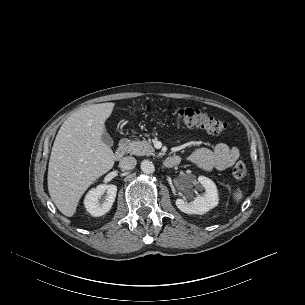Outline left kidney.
<instances>
[{
    "mask_svg": "<svg viewBox=\"0 0 305 305\" xmlns=\"http://www.w3.org/2000/svg\"><path fill=\"white\" fill-rule=\"evenodd\" d=\"M198 182L204 187L202 196H197L193 201L187 202L181 198L176 199L178 209L186 214H205L218 204V190L215 183L204 176L198 177Z\"/></svg>",
    "mask_w": 305,
    "mask_h": 305,
    "instance_id": "1",
    "label": "left kidney"
}]
</instances>
